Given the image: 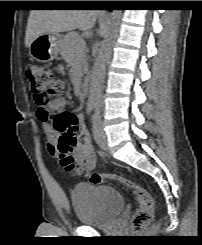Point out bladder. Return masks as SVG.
Wrapping results in <instances>:
<instances>
[{"mask_svg": "<svg viewBox=\"0 0 202 245\" xmlns=\"http://www.w3.org/2000/svg\"><path fill=\"white\" fill-rule=\"evenodd\" d=\"M72 205L79 223L98 227L109 223L124 208V197L108 186L78 184L72 191Z\"/></svg>", "mask_w": 202, "mask_h": 245, "instance_id": "1", "label": "bladder"}]
</instances>
